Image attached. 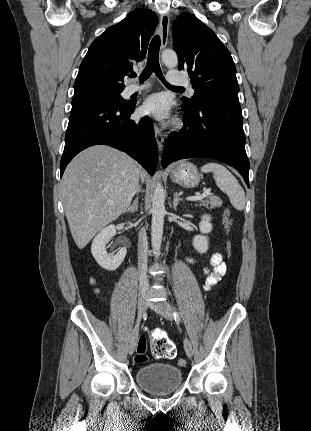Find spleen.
<instances>
[{
    "label": "spleen",
    "mask_w": 311,
    "mask_h": 431,
    "mask_svg": "<svg viewBox=\"0 0 311 431\" xmlns=\"http://www.w3.org/2000/svg\"><path fill=\"white\" fill-rule=\"evenodd\" d=\"M200 170L204 172V174L212 172L218 188H220L224 194H227L233 208H235V210H240V212L244 210L246 204L244 190L241 188L235 176H233L227 168H224L221 164H214V162H211V164L202 166Z\"/></svg>",
    "instance_id": "3e777b00"
}]
</instances>
